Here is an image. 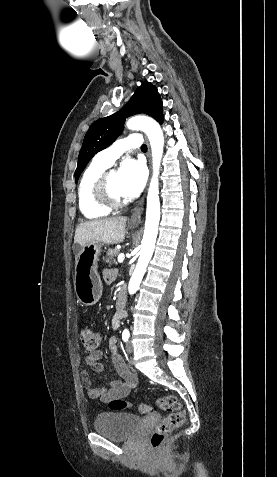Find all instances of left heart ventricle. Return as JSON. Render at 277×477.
I'll list each match as a JSON object with an SVG mask.
<instances>
[{"label": "left heart ventricle", "mask_w": 277, "mask_h": 477, "mask_svg": "<svg viewBox=\"0 0 277 477\" xmlns=\"http://www.w3.org/2000/svg\"><path fill=\"white\" fill-rule=\"evenodd\" d=\"M109 189L112 195H114L115 197H123L120 190L119 175L117 172H112L109 176Z\"/></svg>", "instance_id": "left-heart-ventricle-1"}]
</instances>
